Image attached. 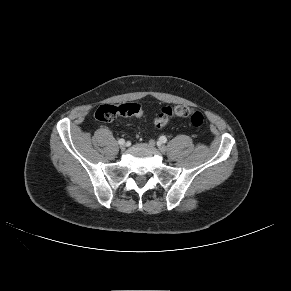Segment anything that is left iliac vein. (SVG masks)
I'll return each instance as SVG.
<instances>
[{"instance_id":"1","label":"left iliac vein","mask_w":291,"mask_h":291,"mask_svg":"<svg viewBox=\"0 0 291 291\" xmlns=\"http://www.w3.org/2000/svg\"><path fill=\"white\" fill-rule=\"evenodd\" d=\"M154 144V143H153ZM153 144H151V145H153ZM158 150L161 152V153H165V151H166V147L164 146V145H159L158 146Z\"/></svg>"}]
</instances>
